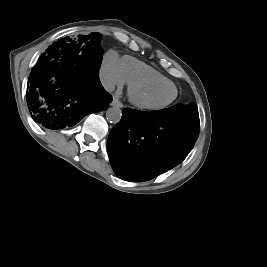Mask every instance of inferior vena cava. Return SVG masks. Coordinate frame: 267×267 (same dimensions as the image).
<instances>
[{"instance_id":"inferior-vena-cava-1","label":"inferior vena cava","mask_w":267,"mask_h":267,"mask_svg":"<svg viewBox=\"0 0 267 267\" xmlns=\"http://www.w3.org/2000/svg\"><path fill=\"white\" fill-rule=\"evenodd\" d=\"M100 81H101V83H102V85L106 91H108V92L114 91L115 84L113 83V81L109 77H107L104 74H101L100 75Z\"/></svg>"}]
</instances>
